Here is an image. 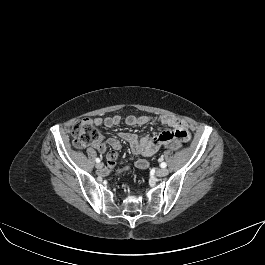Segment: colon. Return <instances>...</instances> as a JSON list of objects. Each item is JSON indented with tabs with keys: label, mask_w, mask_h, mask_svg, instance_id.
Masks as SVG:
<instances>
[{
	"label": "colon",
	"mask_w": 265,
	"mask_h": 265,
	"mask_svg": "<svg viewBox=\"0 0 265 265\" xmlns=\"http://www.w3.org/2000/svg\"><path fill=\"white\" fill-rule=\"evenodd\" d=\"M72 141L75 147L84 148L86 146L95 144L99 141V132L95 129L93 124L88 120H79L75 122L71 129ZM167 147L171 149H179L182 143L176 139H169L167 142ZM126 169L120 170L119 172H125Z\"/></svg>",
	"instance_id": "obj_1"
}]
</instances>
